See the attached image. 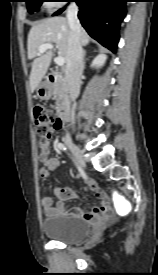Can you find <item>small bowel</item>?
Masks as SVG:
<instances>
[{"instance_id": "c3829d8e", "label": "small bowel", "mask_w": 158, "mask_h": 275, "mask_svg": "<svg viewBox=\"0 0 158 275\" xmlns=\"http://www.w3.org/2000/svg\"><path fill=\"white\" fill-rule=\"evenodd\" d=\"M62 125L63 124L60 123V126L56 130H61ZM39 159L43 164L39 171L40 177L43 179L49 178L51 172L60 165V160L58 157L50 156L49 144L46 146H40ZM87 187L93 190L101 201V205L93 208L90 212H84L80 208H73L69 210L65 208L61 202H59L56 207H53L52 198L48 195L43 196L41 199V208L43 212L46 215L62 213L81 216L86 219L100 218L101 216L104 217L103 213L109 209L108 197L92 181L87 182ZM54 193L60 201L72 199L76 196L74 190L69 187H56L54 189Z\"/></svg>"}]
</instances>
